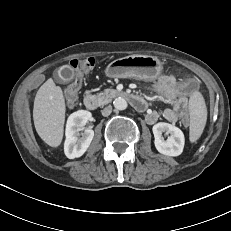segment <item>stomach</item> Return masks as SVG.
Wrapping results in <instances>:
<instances>
[{"mask_svg":"<svg viewBox=\"0 0 231 231\" xmlns=\"http://www.w3.org/2000/svg\"><path fill=\"white\" fill-rule=\"evenodd\" d=\"M161 71L162 62L158 58L149 55H129L112 61L105 73L111 78L153 81Z\"/></svg>","mask_w":231,"mask_h":231,"instance_id":"1","label":"stomach"}]
</instances>
